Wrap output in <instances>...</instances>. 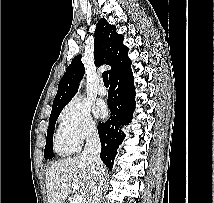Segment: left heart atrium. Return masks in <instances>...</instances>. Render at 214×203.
<instances>
[{
	"label": "left heart atrium",
	"instance_id": "39dd6f15",
	"mask_svg": "<svg viewBox=\"0 0 214 203\" xmlns=\"http://www.w3.org/2000/svg\"><path fill=\"white\" fill-rule=\"evenodd\" d=\"M94 111L98 117H104L106 115L107 109L106 106L100 102L95 106Z\"/></svg>",
	"mask_w": 214,
	"mask_h": 203
}]
</instances>
